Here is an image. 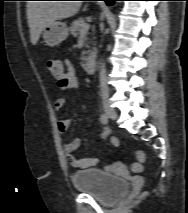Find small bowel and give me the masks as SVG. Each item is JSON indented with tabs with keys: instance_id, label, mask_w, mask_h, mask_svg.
Instances as JSON below:
<instances>
[{
	"instance_id": "small-bowel-1",
	"label": "small bowel",
	"mask_w": 188,
	"mask_h": 213,
	"mask_svg": "<svg viewBox=\"0 0 188 213\" xmlns=\"http://www.w3.org/2000/svg\"><path fill=\"white\" fill-rule=\"evenodd\" d=\"M56 79L58 87L63 91L75 89L79 85V79L75 75L74 69L69 63H67L66 71L63 72L62 76ZM66 102L67 100L65 97L58 98L54 103V109L56 111L62 110L65 107ZM70 124L71 120L69 119L59 120L57 122V129L60 133H65L69 129ZM109 133H110L109 128L107 126H103L100 136L101 138H107L109 136ZM112 143L115 146L118 145V141L115 138L112 139ZM79 146L80 140L78 138H74L65 144L64 149L67 155V159L71 164V166L76 169H86L95 167L99 163L98 158H79L73 154L79 148ZM118 167L119 165L115 163L111 166H108L107 169L111 170Z\"/></svg>"
}]
</instances>
